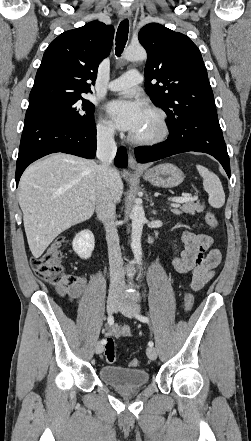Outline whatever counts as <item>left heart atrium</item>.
Returning a JSON list of instances; mask_svg holds the SVG:
<instances>
[{
    "label": "left heart atrium",
    "instance_id": "39dd6f15",
    "mask_svg": "<svg viewBox=\"0 0 251 441\" xmlns=\"http://www.w3.org/2000/svg\"><path fill=\"white\" fill-rule=\"evenodd\" d=\"M106 110L118 129L134 133L140 126L147 108L138 99H117L109 102Z\"/></svg>",
    "mask_w": 251,
    "mask_h": 441
}]
</instances>
